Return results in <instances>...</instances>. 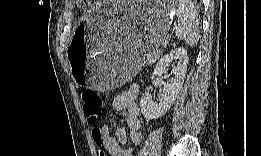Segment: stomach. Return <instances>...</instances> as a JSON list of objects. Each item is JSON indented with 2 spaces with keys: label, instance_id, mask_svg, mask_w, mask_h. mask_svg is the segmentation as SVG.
<instances>
[{
  "label": "stomach",
  "instance_id": "0dacf381",
  "mask_svg": "<svg viewBox=\"0 0 261 156\" xmlns=\"http://www.w3.org/2000/svg\"><path fill=\"white\" fill-rule=\"evenodd\" d=\"M170 13L162 2L107 1L92 8L67 51L75 83L101 91L130 80L162 44Z\"/></svg>",
  "mask_w": 261,
  "mask_h": 156
}]
</instances>
